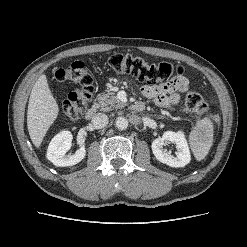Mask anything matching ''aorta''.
Masks as SVG:
<instances>
[{
    "label": "aorta",
    "mask_w": 247,
    "mask_h": 247,
    "mask_svg": "<svg viewBox=\"0 0 247 247\" xmlns=\"http://www.w3.org/2000/svg\"><path fill=\"white\" fill-rule=\"evenodd\" d=\"M115 125L119 130H125L128 127V120L124 117H118L116 119Z\"/></svg>",
    "instance_id": "762f6f07"
}]
</instances>
